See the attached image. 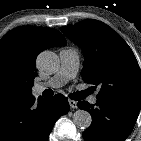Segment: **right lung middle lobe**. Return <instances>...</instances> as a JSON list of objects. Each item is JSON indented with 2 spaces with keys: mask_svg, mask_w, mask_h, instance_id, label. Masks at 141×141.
<instances>
[{
  "mask_svg": "<svg viewBox=\"0 0 141 141\" xmlns=\"http://www.w3.org/2000/svg\"><path fill=\"white\" fill-rule=\"evenodd\" d=\"M31 87L25 88L20 81L12 80L2 88V95L6 100L31 95Z\"/></svg>",
  "mask_w": 141,
  "mask_h": 141,
  "instance_id": "right-lung-middle-lobe-1",
  "label": "right lung middle lobe"
}]
</instances>
